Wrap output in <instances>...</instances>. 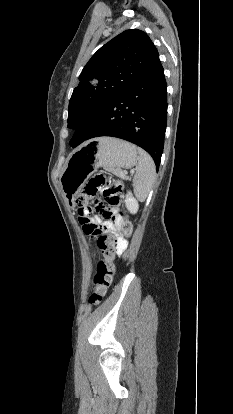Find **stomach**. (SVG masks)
<instances>
[{
    "label": "stomach",
    "mask_w": 233,
    "mask_h": 414,
    "mask_svg": "<svg viewBox=\"0 0 233 414\" xmlns=\"http://www.w3.org/2000/svg\"><path fill=\"white\" fill-rule=\"evenodd\" d=\"M135 145L115 138H95L76 149L69 157L61 176L65 197L74 202L88 177L99 167L116 172L136 165Z\"/></svg>",
    "instance_id": "1"
}]
</instances>
